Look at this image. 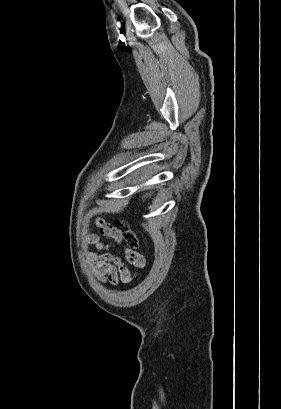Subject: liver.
I'll return each mask as SVG.
<instances>
[{
    "label": "liver",
    "mask_w": 281,
    "mask_h": 409,
    "mask_svg": "<svg viewBox=\"0 0 281 409\" xmlns=\"http://www.w3.org/2000/svg\"><path fill=\"white\" fill-rule=\"evenodd\" d=\"M146 194H148V196H150L149 192H146ZM142 198H145V196H142Z\"/></svg>",
    "instance_id": "6515ba94"
}]
</instances>
